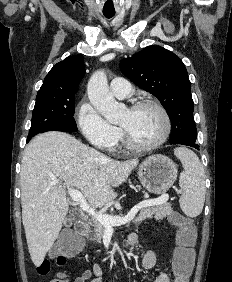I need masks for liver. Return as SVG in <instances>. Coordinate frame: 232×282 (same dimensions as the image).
Returning a JSON list of instances; mask_svg holds the SVG:
<instances>
[{
  "mask_svg": "<svg viewBox=\"0 0 232 282\" xmlns=\"http://www.w3.org/2000/svg\"><path fill=\"white\" fill-rule=\"evenodd\" d=\"M138 162L108 158L64 132L32 139L24 150L20 181L22 222L34 265H41L62 228L69 208L66 188L79 189L90 205L103 207Z\"/></svg>",
  "mask_w": 232,
  "mask_h": 282,
  "instance_id": "liver-1",
  "label": "liver"
}]
</instances>
